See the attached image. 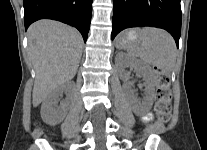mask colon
Wrapping results in <instances>:
<instances>
[{
    "label": "colon",
    "instance_id": "colon-1",
    "mask_svg": "<svg viewBox=\"0 0 207 150\" xmlns=\"http://www.w3.org/2000/svg\"><path fill=\"white\" fill-rule=\"evenodd\" d=\"M157 71V85H156V102L155 112L162 122H168L171 114L172 92L170 88L169 75L156 68Z\"/></svg>",
    "mask_w": 207,
    "mask_h": 150
}]
</instances>
